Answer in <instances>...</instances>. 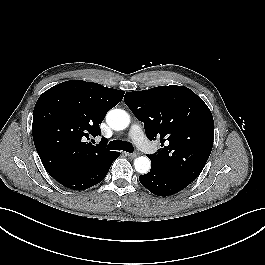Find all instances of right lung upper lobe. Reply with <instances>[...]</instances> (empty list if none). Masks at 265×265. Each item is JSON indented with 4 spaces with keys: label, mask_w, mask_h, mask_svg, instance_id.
Wrapping results in <instances>:
<instances>
[{
    "label": "right lung upper lobe",
    "mask_w": 265,
    "mask_h": 265,
    "mask_svg": "<svg viewBox=\"0 0 265 265\" xmlns=\"http://www.w3.org/2000/svg\"><path fill=\"white\" fill-rule=\"evenodd\" d=\"M124 93L97 83L70 80L39 97L33 111L32 134L50 176L97 165L115 153L102 143L94 146L86 139L101 135L99 124Z\"/></svg>",
    "instance_id": "obj_1"
}]
</instances>
